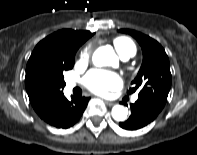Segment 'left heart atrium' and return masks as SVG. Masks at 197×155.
<instances>
[{"mask_svg": "<svg viewBox=\"0 0 197 155\" xmlns=\"http://www.w3.org/2000/svg\"><path fill=\"white\" fill-rule=\"evenodd\" d=\"M84 82L91 92L98 95H105L108 91L119 89L122 85L118 74L104 70L90 71Z\"/></svg>", "mask_w": 197, "mask_h": 155, "instance_id": "obj_1", "label": "left heart atrium"}]
</instances>
